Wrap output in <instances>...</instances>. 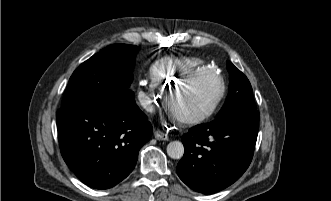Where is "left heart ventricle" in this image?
I'll return each mask as SVG.
<instances>
[{
	"instance_id": "1",
	"label": "left heart ventricle",
	"mask_w": 331,
	"mask_h": 201,
	"mask_svg": "<svg viewBox=\"0 0 331 201\" xmlns=\"http://www.w3.org/2000/svg\"><path fill=\"white\" fill-rule=\"evenodd\" d=\"M219 89L215 76L206 74L174 91L172 106L179 115H192L206 107Z\"/></svg>"
}]
</instances>
